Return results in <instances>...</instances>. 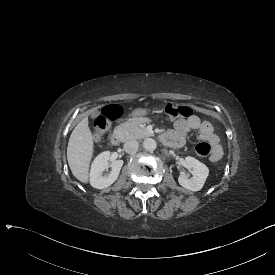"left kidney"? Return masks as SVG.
Listing matches in <instances>:
<instances>
[{"mask_svg":"<svg viewBox=\"0 0 275 275\" xmlns=\"http://www.w3.org/2000/svg\"><path fill=\"white\" fill-rule=\"evenodd\" d=\"M185 166L193 168L192 179H188L185 175H180L178 179L179 184L190 191H199L209 175L208 167L191 156L185 157Z\"/></svg>","mask_w":275,"mask_h":275,"instance_id":"left-kidney-1","label":"left kidney"}]
</instances>
